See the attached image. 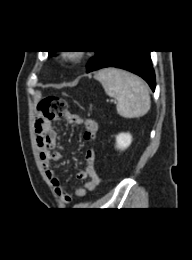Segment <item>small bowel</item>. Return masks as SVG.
Wrapping results in <instances>:
<instances>
[{
    "label": "small bowel",
    "instance_id": "obj_1",
    "mask_svg": "<svg viewBox=\"0 0 192 260\" xmlns=\"http://www.w3.org/2000/svg\"><path fill=\"white\" fill-rule=\"evenodd\" d=\"M65 119L72 124H83L86 132H90L93 138L96 136L98 125L94 120H83L78 114L71 112H69ZM35 132L40 159L46 175L61 201L68 204L72 201V195L53 169V163L61 158V153L57 150V134L52 126V122L37 120L35 123ZM95 160V151L93 149L87 150L85 153L86 166L77 173L79 180H87L75 190V194L79 197H85L89 192L94 191L100 182L95 167Z\"/></svg>",
    "mask_w": 192,
    "mask_h": 260
}]
</instances>
